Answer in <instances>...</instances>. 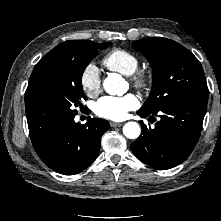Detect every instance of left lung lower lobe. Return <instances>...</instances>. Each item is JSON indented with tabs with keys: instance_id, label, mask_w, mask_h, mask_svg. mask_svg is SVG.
Listing matches in <instances>:
<instances>
[{
	"instance_id": "obj_1",
	"label": "left lung lower lobe",
	"mask_w": 221,
	"mask_h": 221,
	"mask_svg": "<svg viewBox=\"0 0 221 221\" xmlns=\"http://www.w3.org/2000/svg\"><path fill=\"white\" fill-rule=\"evenodd\" d=\"M207 102L183 99L162 108L155 128H147L141 121V136L130 145L134 155L157 170L181 164L191 154L201 133ZM139 110L146 118L157 115ZM153 117V116H151Z\"/></svg>"
}]
</instances>
